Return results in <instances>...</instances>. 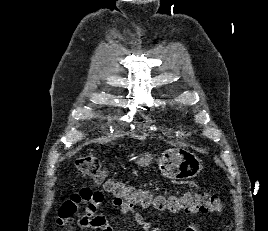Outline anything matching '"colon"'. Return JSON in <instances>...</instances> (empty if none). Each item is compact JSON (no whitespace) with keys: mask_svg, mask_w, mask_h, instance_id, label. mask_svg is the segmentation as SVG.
Returning a JSON list of instances; mask_svg holds the SVG:
<instances>
[{"mask_svg":"<svg viewBox=\"0 0 268 231\" xmlns=\"http://www.w3.org/2000/svg\"><path fill=\"white\" fill-rule=\"evenodd\" d=\"M76 167L84 176L89 177L125 211L133 207L153 208L160 212L177 213L183 211L188 214L223 213V205L219 197L196 191H186L181 195L153 194L151 191L124 183L109 176L101 161L91 155L79 157ZM81 191L80 196H86Z\"/></svg>","mask_w":268,"mask_h":231,"instance_id":"5ec220e1","label":"colon"}]
</instances>
